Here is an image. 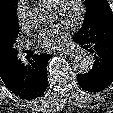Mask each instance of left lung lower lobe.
<instances>
[{"label":"left lung lower lobe","instance_id":"left-lung-lower-lobe-1","mask_svg":"<svg viewBox=\"0 0 113 113\" xmlns=\"http://www.w3.org/2000/svg\"><path fill=\"white\" fill-rule=\"evenodd\" d=\"M86 36L74 35L73 40L89 51L95 58L92 69L77 74L79 86L88 92H99L113 82V37H101L88 41Z\"/></svg>","mask_w":113,"mask_h":113}]
</instances>
